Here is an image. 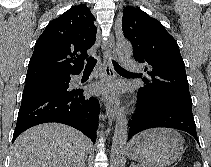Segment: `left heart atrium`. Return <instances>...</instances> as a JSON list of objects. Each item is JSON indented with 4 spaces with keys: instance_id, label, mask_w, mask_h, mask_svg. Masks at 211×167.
Masks as SVG:
<instances>
[{
    "instance_id": "1",
    "label": "left heart atrium",
    "mask_w": 211,
    "mask_h": 167,
    "mask_svg": "<svg viewBox=\"0 0 211 167\" xmlns=\"http://www.w3.org/2000/svg\"><path fill=\"white\" fill-rule=\"evenodd\" d=\"M104 85H95L94 87H93V89L95 90V91H103L104 90ZM108 88H109V91L112 93V94H115L116 92H117V87L116 86H114V85H110L109 84V86H108Z\"/></svg>"
}]
</instances>
